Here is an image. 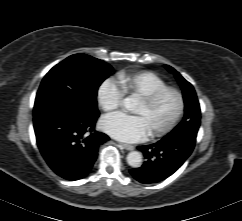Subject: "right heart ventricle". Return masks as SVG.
Listing matches in <instances>:
<instances>
[{
  "instance_id": "e07e8e85",
  "label": "right heart ventricle",
  "mask_w": 242,
  "mask_h": 221,
  "mask_svg": "<svg viewBox=\"0 0 242 221\" xmlns=\"http://www.w3.org/2000/svg\"><path fill=\"white\" fill-rule=\"evenodd\" d=\"M117 83L124 94L136 97L166 86V82L159 75L148 70L120 72L117 75Z\"/></svg>"
}]
</instances>
